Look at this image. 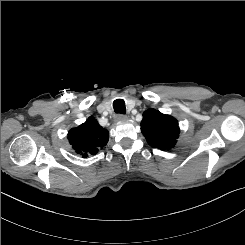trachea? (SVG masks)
<instances>
[{
  "label": "trachea",
  "instance_id": "3493384b",
  "mask_svg": "<svg viewBox=\"0 0 245 245\" xmlns=\"http://www.w3.org/2000/svg\"><path fill=\"white\" fill-rule=\"evenodd\" d=\"M113 108H114L115 113H119V114L126 113L125 102L123 99H116L113 102Z\"/></svg>",
  "mask_w": 245,
  "mask_h": 245
}]
</instances>
